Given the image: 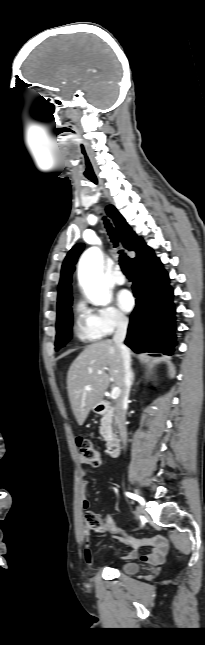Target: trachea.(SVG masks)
<instances>
[{"label": "trachea", "mask_w": 205, "mask_h": 645, "mask_svg": "<svg viewBox=\"0 0 205 645\" xmlns=\"http://www.w3.org/2000/svg\"><path fill=\"white\" fill-rule=\"evenodd\" d=\"M105 227L107 228L111 241L114 243L115 247H117L118 242H117L116 233L107 219L105 220ZM119 254H120L119 262L123 273L126 276H132V266H131L130 258L125 253H123V250H120Z\"/></svg>", "instance_id": "obj_1"}]
</instances>
